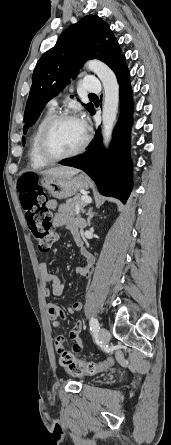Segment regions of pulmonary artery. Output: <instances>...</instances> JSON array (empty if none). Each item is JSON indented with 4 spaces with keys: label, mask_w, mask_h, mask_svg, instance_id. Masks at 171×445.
Instances as JSON below:
<instances>
[{
    "label": "pulmonary artery",
    "mask_w": 171,
    "mask_h": 445,
    "mask_svg": "<svg viewBox=\"0 0 171 445\" xmlns=\"http://www.w3.org/2000/svg\"><path fill=\"white\" fill-rule=\"evenodd\" d=\"M83 88L87 92H98L101 90L100 80L96 77H85L83 80ZM57 105V100L52 99L49 106L54 108Z\"/></svg>",
    "instance_id": "e3ab8cb5"
}]
</instances>
